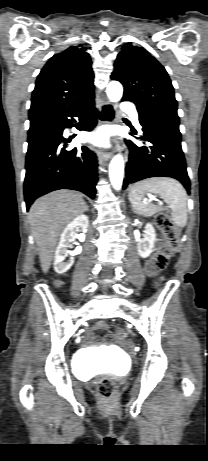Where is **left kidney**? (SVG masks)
<instances>
[{
    "label": "left kidney",
    "instance_id": "5707ae66",
    "mask_svg": "<svg viewBox=\"0 0 208 461\" xmlns=\"http://www.w3.org/2000/svg\"><path fill=\"white\" fill-rule=\"evenodd\" d=\"M144 233V238L138 240L137 251L140 257L147 258L152 253L156 241V234L153 225L147 223Z\"/></svg>",
    "mask_w": 208,
    "mask_h": 461
}]
</instances>
